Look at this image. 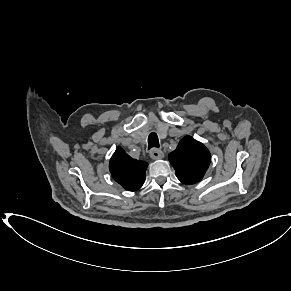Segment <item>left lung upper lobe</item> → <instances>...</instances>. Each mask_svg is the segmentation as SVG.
<instances>
[{"mask_svg": "<svg viewBox=\"0 0 291 291\" xmlns=\"http://www.w3.org/2000/svg\"><path fill=\"white\" fill-rule=\"evenodd\" d=\"M169 161L182 183L195 184L203 178L210 164L211 156L204 144L191 136H186L169 154Z\"/></svg>", "mask_w": 291, "mask_h": 291, "instance_id": "5c2ea615", "label": "left lung upper lobe"}]
</instances>
